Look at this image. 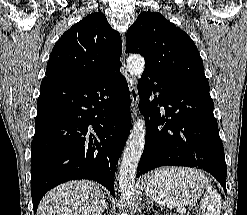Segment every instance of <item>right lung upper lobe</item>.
<instances>
[{"mask_svg":"<svg viewBox=\"0 0 247 215\" xmlns=\"http://www.w3.org/2000/svg\"><path fill=\"white\" fill-rule=\"evenodd\" d=\"M120 34L102 13H92L66 31L56 42L47 63L46 77L84 84L121 66Z\"/></svg>","mask_w":247,"mask_h":215,"instance_id":"cb5924a9","label":"right lung upper lobe"}]
</instances>
